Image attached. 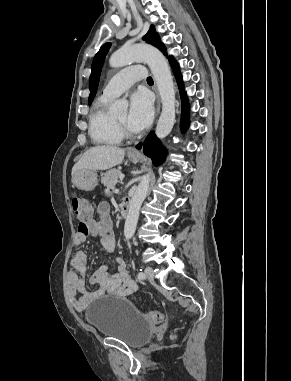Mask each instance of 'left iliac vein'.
Wrapping results in <instances>:
<instances>
[{"instance_id": "1", "label": "left iliac vein", "mask_w": 291, "mask_h": 381, "mask_svg": "<svg viewBox=\"0 0 291 381\" xmlns=\"http://www.w3.org/2000/svg\"><path fill=\"white\" fill-rule=\"evenodd\" d=\"M144 273H145V277L152 281L153 278H154V272H153V269L151 267H146L145 270H144Z\"/></svg>"}]
</instances>
